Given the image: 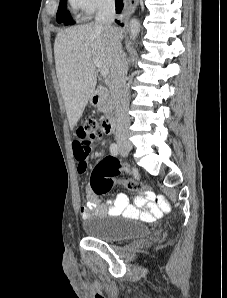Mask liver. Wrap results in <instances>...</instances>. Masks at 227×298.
Instances as JSON below:
<instances>
[{
    "label": "liver",
    "instance_id": "6515ba94",
    "mask_svg": "<svg viewBox=\"0 0 227 298\" xmlns=\"http://www.w3.org/2000/svg\"><path fill=\"white\" fill-rule=\"evenodd\" d=\"M121 39V29L105 30L93 22L69 27L57 34L55 66L70 128L76 125L95 91L93 58L111 69L114 44Z\"/></svg>",
    "mask_w": 227,
    "mask_h": 298
}]
</instances>
